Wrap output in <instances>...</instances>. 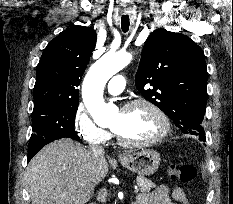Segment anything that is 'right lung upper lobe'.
<instances>
[{"mask_svg":"<svg viewBox=\"0 0 233 204\" xmlns=\"http://www.w3.org/2000/svg\"><path fill=\"white\" fill-rule=\"evenodd\" d=\"M95 45L94 29L85 26L71 27L49 42L37 65L34 109L78 103L77 87Z\"/></svg>","mask_w":233,"mask_h":204,"instance_id":"cb5924a9","label":"right lung upper lobe"}]
</instances>
